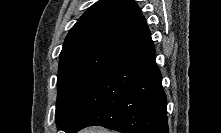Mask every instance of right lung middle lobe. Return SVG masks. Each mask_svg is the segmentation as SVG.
Wrapping results in <instances>:
<instances>
[{
	"label": "right lung middle lobe",
	"mask_w": 221,
	"mask_h": 133,
	"mask_svg": "<svg viewBox=\"0 0 221 133\" xmlns=\"http://www.w3.org/2000/svg\"><path fill=\"white\" fill-rule=\"evenodd\" d=\"M106 69H67L58 73L56 124L67 131L71 122L88 96L94 83Z\"/></svg>",
	"instance_id": "right-lung-middle-lobe-1"
}]
</instances>
